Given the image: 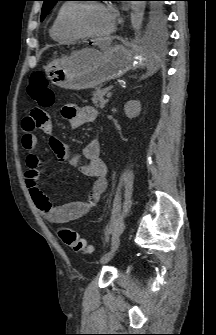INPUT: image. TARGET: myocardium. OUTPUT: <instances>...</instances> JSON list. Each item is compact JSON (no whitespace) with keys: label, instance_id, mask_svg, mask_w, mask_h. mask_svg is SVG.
<instances>
[{"label":"myocardium","instance_id":"myocardium-1","mask_svg":"<svg viewBox=\"0 0 216 335\" xmlns=\"http://www.w3.org/2000/svg\"><path fill=\"white\" fill-rule=\"evenodd\" d=\"M89 5H97L100 7H104L101 3L98 2H85L82 4H74L66 19L67 28L72 33L80 37H86V38H99L110 34L114 30L113 24L109 30L103 33L90 32L83 27L81 22V14L83 10Z\"/></svg>","mask_w":216,"mask_h":335}]
</instances>
